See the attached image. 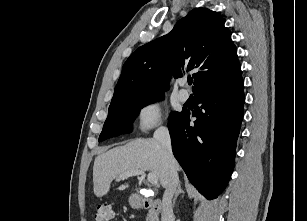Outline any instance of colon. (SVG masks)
Masks as SVG:
<instances>
[{
	"mask_svg": "<svg viewBox=\"0 0 307 221\" xmlns=\"http://www.w3.org/2000/svg\"><path fill=\"white\" fill-rule=\"evenodd\" d=\"M113 211L109 203H102L94 215L95 221H112Z\"/></svg>",
	"mask_w": 307,
	"mask_h": 221,
	"instance_id": "obj_1",
	"label": "colon"
}]
</instances>
